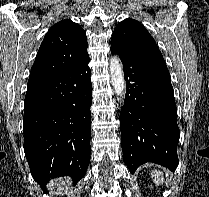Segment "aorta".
Segmentation results:
<instances>
[{"label":"aorta","mask_w":209,"mask_h":197,"mask_svg":"<svg viewBox=\"0 0 209 197\" xmlns=\"http://www.w3.org/2000/svg\"><path fill=\"white\" fill-rule=\"evenodd\" d=\"M111 83L115 90L118 100H122L126 88V82L123 73V67L117 56L111 57L110 60Z\"/></svg>","instance_id":"762f6f07"}]
</instances>
